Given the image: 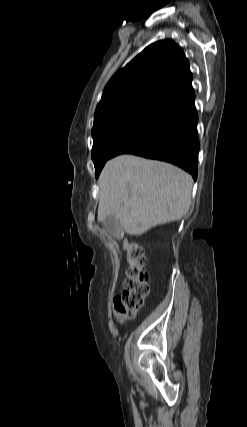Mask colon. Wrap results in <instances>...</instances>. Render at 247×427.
<instances>
[{
	"label": "colon",
	"instance_id": "colon-1",
	"mask_svg": "<svg viewBox=\"0 0 247 427\" xmlns=\"http://www.w3.org/2000/svg\"><path fill=\"white\" fill-rule=\"evenodd\" d=\"M123 248L129 267L123 291L114 299L115 314L120 321L133 318L149 293V275L145 270L146 257L143 248L137 243L128 241H124Z\"/></svg>",
	"mask_w": 247,
	"mask_h": 427
}]
</instances>
